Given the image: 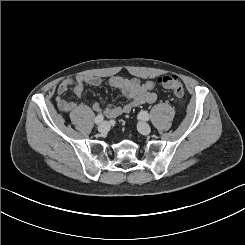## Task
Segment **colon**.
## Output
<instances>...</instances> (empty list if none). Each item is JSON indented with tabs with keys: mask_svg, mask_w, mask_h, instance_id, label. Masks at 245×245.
<instances>
[{
	"mask_svg": "<svg viewBox=\"0 0 245 245\" xmlns=\"http://www.w3.org/2000/svg\"><path fill=\"white\" fill-rule=\"evenodd\" d=\"M157 83L171 91L176 97L182 98L184 96V85L181 80L175 75H164L157 79Z\"/></svg>",
	"mask_w": 245,
	"mask_h": 245,
	"instance_id": "obj_1",
	"label": "colon"
}]
</instances>
